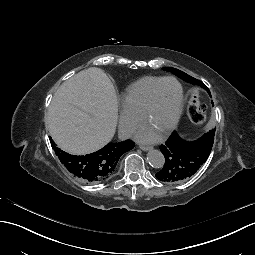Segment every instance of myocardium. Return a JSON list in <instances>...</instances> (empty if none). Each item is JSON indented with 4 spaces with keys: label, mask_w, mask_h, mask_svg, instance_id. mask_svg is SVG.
Returning <instances> with one entry per match:
<instances>
[{
    "label": "myocardium",
    "mask_w": 255,
    "mask_h": 255,
    "mask_svg": "<svg viewBox=\"0 0 255 255\" xmlns=\"http://www.w3.org/2000/svg\"><path fill=\"white\" fill-rule=\"evenodd\" d=\"M167 82H174L177 84L178 88H179V101H178V106H177V110L175 113V116L172 120V122L169 124V126L166 128L164 134L161 136L162 139H166L167 137L170 136V134L175 130V128L177 127L182 112H183V107H184V90L183 87L181 85V83L173 78V77H167L164 78L151 92L150 97H149V101L145 107V109L143 110L141 116H140V124H143V122L150 116L151 112L154 109L155 106V102H156V98H157V94L160 90V88Z\"/></svg>",
    "instance_id": "f54148a6"
}]
</instances>
